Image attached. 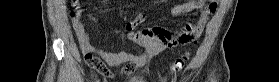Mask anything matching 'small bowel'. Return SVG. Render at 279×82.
<instances>
[{
  "instance_id": "obj_1",
  "label": "small bowel",
  "mask_w": 279,
  "mask_h": 82,
  "mask_svg": "<svg viewBox=\"0 0 279 82\" xmlns=\"http://www.w3.org/2000/svg\"><path fill=\"white\" fill-rule=\"evenodd\" d=\"M70 5L75 8L79 7V3L76 1L71 2ZM195 8L199 10L196 17L186 22L176 32L158 26L135 31V27L143 21V16L128 22L125 26L127 34L131 40L145 48L146 51L142 54L129 52L112 53L96 48L91 44L79 14L73 18L72 24L85 61L90 68L96 70L102 76H109L111 73L107 65L118 66L121 63L128 62L124 73L131 74L135 71L136 67L146 65L151 58L166 49L187 45L197 39L209 16L216 11L217 4H206L203 1H188L174 6L170 11V15L172 17L179 16ZM100 65L103 66V69Z\"/></svg>"
}]
</instances>
